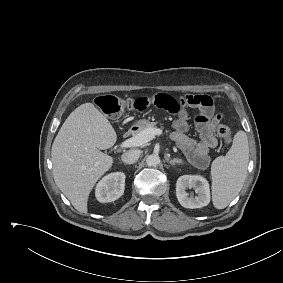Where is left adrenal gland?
I'll use <instances>...</instances> for the list:
<instances>
[{"label": "left adrenal gland", "instance_id": "1", "mask_svg": "<svg viewBox=\"0 0 283 283\" xmlns=\"http://www.w3.org/2000/svg\"><path fill=\"white\" fill-rule=\"evenodd\" d=\"M165 159H166V161L170 164V165H172V166H174V165H176V164H181L182 162H181V160L180 159H170L169 158V155H166L165 156Z\"/></svg>", "mask_w": 283, "mask_h": 283}]
</instances>
